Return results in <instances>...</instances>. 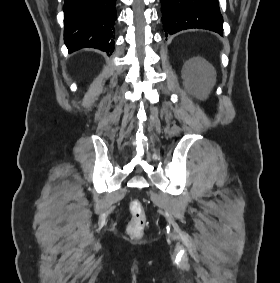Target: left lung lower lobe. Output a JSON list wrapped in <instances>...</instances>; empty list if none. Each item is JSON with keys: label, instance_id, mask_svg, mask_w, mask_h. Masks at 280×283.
<instances>
[{"label": "left lung lower lobe", "instance_id": "obj_1", "mask_svg": "<svg viewBox=\"0 0 280 283\" xmlns=\"http://www.w3.org/2000/svg\"><path fill=\"white\" fill-rule=\"evenodd\" d=\"M166 37L190 28L207 29L223 35L218 0H161Z\"/></svg>", "mask_w": 280, "mask_h": 283}]
</instances>
